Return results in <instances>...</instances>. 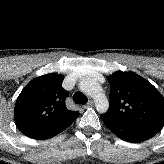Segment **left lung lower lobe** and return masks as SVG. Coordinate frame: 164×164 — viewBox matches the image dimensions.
<instances>
[{"label":"left lung lower lobe","mask_w":164,"mask_h":164,"mask_svg":"<svg viewBox=\"0 0 164 164\" xmlns=\"http://www.w3.org/2000/svg\"><path fill=\"white\" fill-rule=\"evenodd\" d=\"M101 118L106 127L109 128L117 137L128 142L139 143L156 135L148 130L122 124L106 114L101 115Z\"/></svg>","instance_id":"1"}]
</instances>
